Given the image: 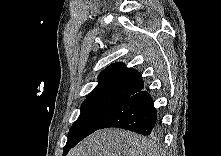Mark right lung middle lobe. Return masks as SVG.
I'll return each mask as SVG.
<instances>
[{
    "mask_svg": "<svg viewBox=\"0 0 221 156\" xmlns=\"http://www.w3.org/2000/svg\"><path fill=\"white\" fill-rule=\"evenodd\" d=\"M125 100L117 98H87L81 113L69 130L63 156L82 139L98 130L114 109Z\"/></svg>",
    "mask_w": 221,
    "mask_h": 156,
    "instance_id": "obj_1",
    "label": "right lung middle lobe"
}]
</instances>
